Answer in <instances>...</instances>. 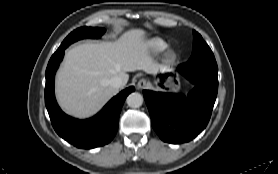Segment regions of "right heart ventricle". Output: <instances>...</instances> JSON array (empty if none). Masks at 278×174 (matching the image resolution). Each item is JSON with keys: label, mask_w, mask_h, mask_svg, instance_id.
Here are the masks:
<instances>
[{"label": "right heart ventricle", "mask_w": 278, "mask_h": 174, "mask_svg": "<svg viewBox=\"0 0 278 174\" xmlns=\"http://www.w3.org/2000/svg\"><path fill=\"white\" fill-rule=\"evenodd\" d=\"M167 46V43L160 38H154L148 43V47L153 53H161Z\"/></svg>", "instance_id": "right-heart-ventricle-1"}]
</instances>
